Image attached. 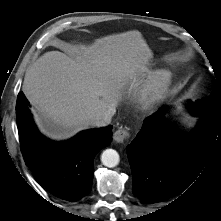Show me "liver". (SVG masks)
<instances>
[{"instance_id":"1","label":"liver","mask_w":221,"mask_h":221,"mask_svg":"<svg viewBox=\"0 0 221 221\" xmlns=\"http://www.w3.org/2000/svg\"><path fill=\"white\" fill-rule=\"evenodd\" d=\"M70 52L72 57L45 53L28 68L22 86L38 127L52 138L86 129L93 114L117 106L128 80L141 75L151 57L136 30L99 38L88 46L74 45Z\"/></svg>"}]
</instances>
